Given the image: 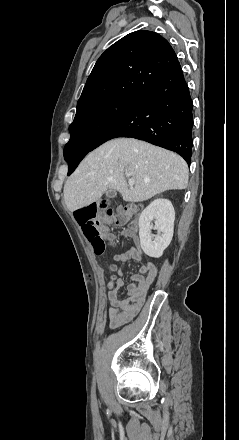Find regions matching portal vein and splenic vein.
I'll return each instance as SVG.
<instances>
[{
    "instance_id": "18ae733b",
    "label": "portal vein and splenic vein",
    "mask_w": 239,
    "mask_h": 440,
    "mask_svg": "<svg viewBox=\"0 0 239 440\" xmlns=\"http://www.w3.org/2000/svg\"><path fill=\"white\" fill-rule=\"evenodd\" d=\"M128 184H129L130 188H133L134 180H128Z\"/></svg>"
}]
</instances>
